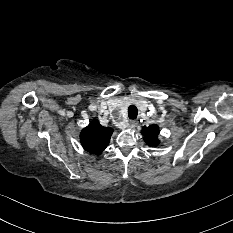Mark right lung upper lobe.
Wrapping results in <instances>:
<instances>
[{"instance_id":"cb5924a9","label":"right lung upper lobe","mask_w":233,"mask_h":233,"mask_svg":"<svg viewBox=\"0 0 233 233\" xmlns=\"http://www.w3.org/2000/svg\"><path fill=\"white\" fill-rule=\"evenodd\" d=\"M113 129L103 127L98 121H92L80 135L81 144L92 154H100L109 144Z\"/></svg>"}]
</instances>
